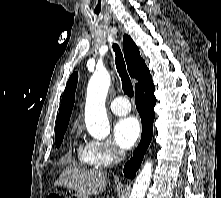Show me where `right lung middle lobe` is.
I'll list each match as a JSON object with an SVG mask.
<instances>
[{"instance_id":"1","label":"right lung middle lobe","mask_w":221,"mask_h":198,"mask_svg":"<svg viewBox=\"0 0 221 198\" xmlns=\"http://www.w3.org/2000/svg\"><path fill=\"white\" fill-rule=\"evenodd\" d=\"M67 127L59 130V131H56L55 132V144H56V147H59L62 143V140L64 138V133L66 131Z\"/></svg>"}]
</instances>
